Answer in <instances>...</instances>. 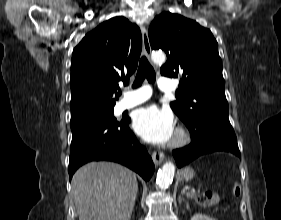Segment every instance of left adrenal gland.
I'll return each mask as SVG.
<instances>
[{"mask_svg": "<svg viewBox=\"0 0 281 220\" xmlns=\"http://www.w3.org/2000/svg\"><path fill=\"white\" fill-rule=\"evenodd\" d=\"M182 194H184V192H182ZM179 203H181L183 201V198L181 195H179L178 197ZM186 206H188V203L186 202Z\"/></svg>", "mask_w": 281, "mask_h": 220, "instance_id": "left-adrenal-gland-1", "label": "left adrenal gland"}]
</instances>
